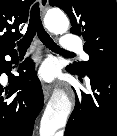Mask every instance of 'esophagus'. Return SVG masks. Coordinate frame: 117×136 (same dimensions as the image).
I'll return each instance as SVG.
<instances>
[{
    "label": "esophagus",
    "mask_w": 117,
    "mask_h": 136,
    "mask_svg": "<svg viewBox=\"0 0 117 136\" xmlns=\"http://www.w3.org/2000/svg\"><path fill=\"white\" fill-rule=\"evenodd\" d=\"M47 5H48V0H40V8H41L42 14H44V12L47 8ZM42 89H43L44 98H45V100H47L50 93H51V86L43 83Z\"/></svg>",
    "instance_id": "34e87169"
}]
</instances>
